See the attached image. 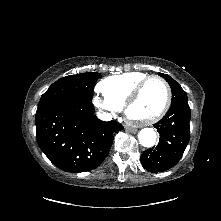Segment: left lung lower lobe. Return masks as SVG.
I'll return each instance as SVG.
<instances>
[{
	"label": "left lung lower lobe",
	"mask_w": 221,
	"mask_h": 221,
	"mask_svg": "<svg viewBox=\"0 0 221 221\" xmlns=\"http://www.w3.org/2000/svg\"><path fill=\"white\" fill-rule=\"evenodd\" d=\"M190 107L188 103L171 105L154 127L160 134L156 147L144 151L141 163L149 172L166 171L181 159L190 139Z\"/></svg>",
	"instance_id": "0a47b994"
}]
</instances>
